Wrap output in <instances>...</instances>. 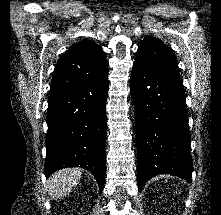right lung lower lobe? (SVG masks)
Segmentation results:
<instances>
[{
  "label": "right lung lower lobe",
  "mask_w": 221,
  "mask_h": 215,
  "mask_svg": "<svg viewBox=\"0 0 221 215\" xmlns=\"http://www.w3.org/2000/svg\"><path fill=\"white\" fill-rule=\"evenodd\" d=\"M108 72L48 99L45 174L82 167L96 178L100 191L105 178L106 101Z\"/></svg>",
  "instance_id": "1"
}]
</instances>
